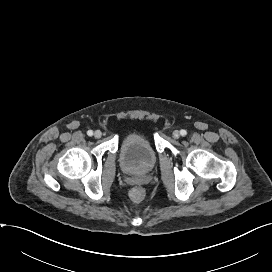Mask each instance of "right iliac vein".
<instances>
[{"instance_id": "1", "label": "right iliac vein", "mask_w": 272, "mask_h": 272, "mask_svg": "<svg viewBox=\"0 0 272 272\" xmlns=\"http://www.w3.org/2000/svg\"><path fill=\"white\" fill-rule=\"evenodd\" d=\"M101 136H102L101 131L96 130L95 133H94V137L97 138V139H99V138H101Z\"/></svg>"}]
</instances>
